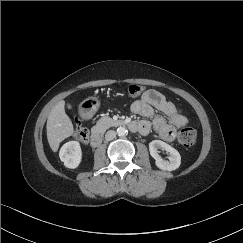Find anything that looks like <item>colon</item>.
Returning <instances> with one entry per match:
<instances>
[{
	"instance_id": "1",
	"label": "colon",
	"mask_w": 243,
	"mask_h": 243,
	"mask_svg": "<svg viewBox=\"0 0 243 243\" xmlns=\"http://www.w3.org/2000/svg\"><path fill=\"white\" fill-rule=\"evenodd\" d=\"M143 92V87L137 84H132L127 88V94L131 98L139 97ZM78 127L76 130V136L82 140L86 141L87 133L86 130L82 127L81 121L79 119L76 120ZM196 131L191 127L184 128L179 134V142L185 146L190 147L196 142Z\"/></svg>"
}]
</instances>
